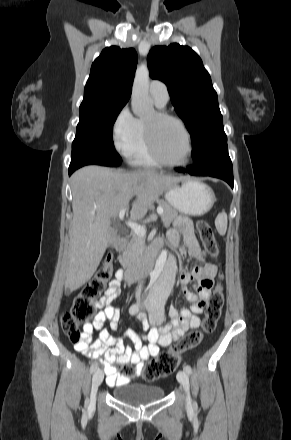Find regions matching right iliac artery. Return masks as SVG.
<instances>
[{
  "mask_svg": "<svg viewBox=\"0 0 291 440\" xmlns=\"http://www.w3.org/2000/svg\"><path fill=\"white\" fill-rule=\"evenodd\" d=\"M138 311H139V307H138V305H132V306L129 308V313H130L131 315H135ZM97 369H98V363L95 362V363H93V364L91 365V367H90V372L93 373V372H95Z\"/></svg>",
  "mask_w": 291,
  "mask_h": 440,
  "instance_id": "82829eb1",
  "label": "right iliac artery"
}]
</instances>
